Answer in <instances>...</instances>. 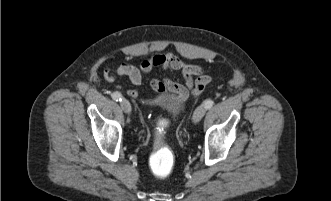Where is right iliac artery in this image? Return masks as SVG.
Masks as SVG:
<instances>
[{"instance_id": "82829eb1", "label": "right iliac artery", "mask_w": 331, "mask_h": 201, "mask_svg": "<svg viewBox=\"0 0 331 201\" xmlns=\"http://www.w3.org/2000/svg\"><path fill=\"white\" fill-rule=\"evenodd\" d=\"M112 98L115 101H121L122 100V95L119 92H114L112 93Z\"/></svg>"}]
</instances>
